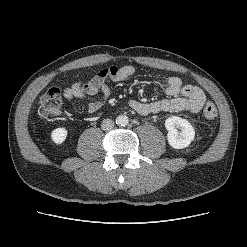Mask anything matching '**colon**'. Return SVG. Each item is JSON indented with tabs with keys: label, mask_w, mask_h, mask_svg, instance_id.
I'll list each match as a JSON object with an SVG mask.
<instances>
[{
	"label": "colon",
	"mask_w": 247,
	"mask_h": 247,
	"mask_svg": "<svg viewBox=\"0 0 247 247\" xmlns=\"http://www.w3.org/2000/svg\"><path fill=\"white\" fill-rule=\"evenodd\" d=\"M62 97L60 89L50 88L40 99L38 115L43 120L51 119L60 112ZM202 115L207 120H212L217 116V108L212 102H207L203 109Z\"/></svg>",
	"instance_id": "1"
}]
</instances>
